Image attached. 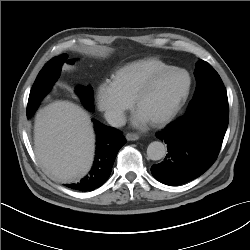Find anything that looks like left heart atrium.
Segmentation results:
<instances>
[{"label":"left heart atrium","mask_w":250,"mask_h":250,"mask_svg":"<svg viewBox=\"0 0 250 250\" xmlns=\"http://www.w3.org/2000/svg\"><path fill=\"white\" fill-rule=\"evenodd\" d=\"M149 121L140 113L136 112L133 118V124L136 126H145Z\"/></svg>","instance_id":"obj_1"}]
</instances>
